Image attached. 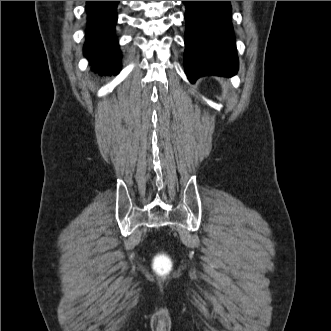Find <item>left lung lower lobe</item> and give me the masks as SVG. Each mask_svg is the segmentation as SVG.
<instances>
[{
  "instance_id": "left-lung-lower-lobe-1",
  "label": "left lung lower lobe",
  "mask_w": 331,
  "mask_h": 331,
  "mask_svg": "<svg viewBox=\"0 0 331 331\" xmlns=\"http://www.w3.org/2000/svg\"><path fill=\"white\" fill-rule=\"evenodd\" d=\"M186 6L184 66L190 82L238 70L230 1H183Z\"/></svg>"
}]
</instances>
